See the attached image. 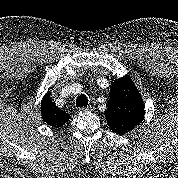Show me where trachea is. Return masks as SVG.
I'll return each instance as SVG.
<instances>
[{
    "mask_svg": "<svg viewBox=\"0 0 178 178\" xmlns=\"http://www.w3.org/2000/svg\"><path fill=\"white\" fill-rule=\"evenodd\" d=\"M88 105V98L84 94H80L76 99L77 107H86Z\"/></svg>",
    "mask_w": 178,
    "mask_h": 178,
    "instance_id": "trachea-1",
    "label": "trachea"
}]
</instances>
